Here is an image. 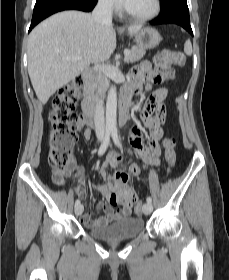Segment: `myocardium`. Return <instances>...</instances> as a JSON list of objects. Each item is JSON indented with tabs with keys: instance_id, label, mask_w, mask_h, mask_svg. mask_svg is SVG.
Instances as JSON below:
<instances>
[{
	"instance_id": "f54148a6",
	"label": "myocardium",
	"mask_w": 229,
	"mask_h": 280,
	"mask_svg": "<svg viewBox=\"0 0 229 280\" xmlns=\"http://www.w3.org/2000/svg\"><path fill=\"white\" fill-rule=\"evenodd\" d=\"M161 9H162L161 0H153V7L148 13L134 14L129 12L125 7L122 8V12L130 19L136 22L144 23L157 17L160 14Z\"/></svg>"
}]
</instances>
